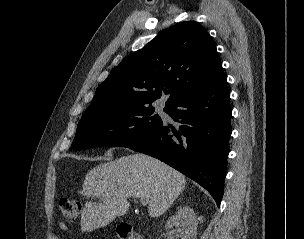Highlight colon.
<instances>
[{
  "mask_svg": "<svg viewBox=\"0 0 304 239\" xmlns=\"http://www.w3.org/2000/svg\"><path fill=\"white\" fill-rule=\"evenodd\" d=\"M62 216L68 220H75L81 210V204L78 200L71 198H61L58 202ZM117 236L119 239H142V237L133 232L128 224H121L117 228Z\"/></svg>",
  "mask_w": 304,
  "mask_h": 239,
  "instance_id": "obj_1",
  "label": "colon"
}]
</instances>
